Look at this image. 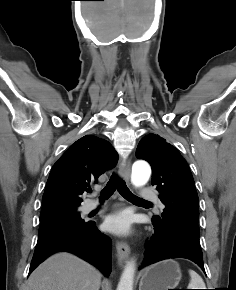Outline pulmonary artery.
Masks as SVG:
<instances>
[{
	"label": "pulmonary artery",
	"instance_id": "obj_1",
	"mask_svg": "<svg viewBox=\"0 0 236 290\" xmlns=\"http://www.w3.org/2000/svg\"><path fill=\"white\" fill-rule=\"evenodd\" d=\"M139 197L145 201H157V194L152 189H145L140 191ZM159 206L162 208L163 204L158 201ZM99 207V203L95 200H89L83 205L84 212H90Z\"/></svg>",
	"mask_w": 236,
	"mask_h": 290
}]
</instances>
